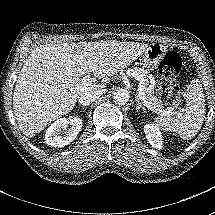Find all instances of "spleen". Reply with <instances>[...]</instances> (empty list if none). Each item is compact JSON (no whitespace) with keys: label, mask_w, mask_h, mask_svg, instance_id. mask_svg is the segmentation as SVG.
<instances>
[{"label":"spleen","mask_w":215,"mask_h":215,"mask_svg":"<svg viewBox=\"0 0 215 215\" xmlns=\"http://www.w3.org/2000/svg\"><path fill=\"white\" fill-rule=\"evenodd\" d=\"M205 117V99L199 84L192 82L187 93L186 112L182 116L155 118L156 125L164 131L178 133L183 140L191 139L201 129Z\"/></svg>","instance_id":"1"}]
</instances>
